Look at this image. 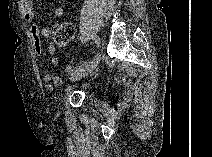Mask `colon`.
I'll use <instances>...</instances> for the list:
<instances>
[{
  "label": "colon",
  "instance_id": "obj_1",
  "mask_svg": "<svg viewBox=\"0 0 212 157\" xmlns=\"http://www.w3.org/2000/svg\"><path fill=\"white\" fill-rule=\"evenodd\" d=\"M51 34L57 44L66 45L74 38L75 28L70 22H58L53 25Z\"/></svg>",
  "mask_w": 212,
  "mask_h": 157
}]
</instances>
